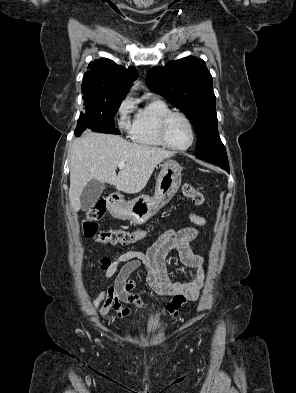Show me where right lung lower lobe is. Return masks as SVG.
<instances>
[{"instance_id": "98d812e1", "label": "right lung lower lobe", "mask_w": 296, "mask_h": 393, "mask_svg": "<svg viewBox=\"0 0 296 393\" xmlns=\"http://www.w3.org/2000/svg\"><path fill=\"white\" fill-rule=\"evenodd\" d=\"M85 129H90L94 132H100V133L120 134V131L116 128H109L93 123H84V124H77V127L75 129V135L80 136Z\"/></svg>"}]
</instances>
